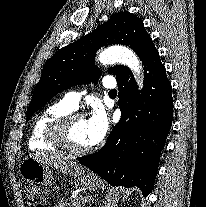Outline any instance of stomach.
Instances as JSON below:
<instances>
[{
	"mask_svg": "<svg viewBox=\"0 0 206 207\" xmlns=\"http://www.w3.org/2000/svg\"><path fill=\"white\" fill-rule=\"evenodd\" d=\"M19 174L27 182L39 185L50 186L53 182V171L50 167L31 157L23 159L19 166ZM78 183L89 190H96L102 185L101 181L92 174L80 176Z\"/></svg>",
	"mask_w": 206,
	"mask_h": 207,
	"instance_id": "0dacf381",
	"label": "stomach"
}]
</instances>
